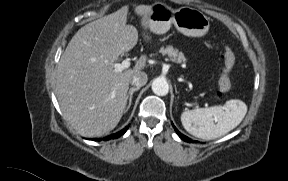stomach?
<instances>
[{"label":"stomach","instance_id":"1","mask_svg":"<svg viewBox=\"0 0 288 181\" xmlns=\"http://www.w3.org/2000/svg\"><path fill=\"white\" fill-rule=\"evenodd\" d=\"M172 24L179 32L190 37L204 36L210 27L209 18L197 9L182 7L174 10L163 3L151 5L147 18V27L150 31L164 34Z\"/></svg>","mask_w":288,"mask_h":181}]
</instances>
